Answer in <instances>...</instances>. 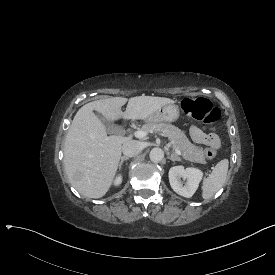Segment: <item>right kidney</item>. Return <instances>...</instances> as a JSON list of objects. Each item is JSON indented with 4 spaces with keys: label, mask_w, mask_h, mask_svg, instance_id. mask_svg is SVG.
<instances>
[{
    "label": "right kidney",
    "mask_w": 275,
    "mask_h": 275,
    "mask_svg": "<svg viewBox=\"0 0 275 275\" xmlns=\"http://www.w3.org/2000/svg\"><path fill=\"white\" fill-rule=\"evenodd\" d=\"M123 182V174L122 173H118L113 181H112V187H119Z\"/></svg>",
    "instance_id": "ca27d5eb"
}]
</instances>
